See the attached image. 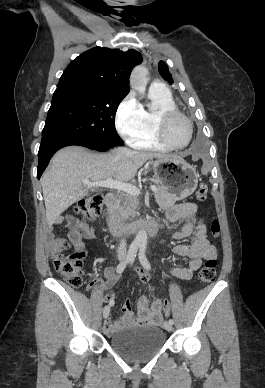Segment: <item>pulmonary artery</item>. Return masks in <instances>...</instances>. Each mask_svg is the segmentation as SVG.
Listing matches in <instances>:
<instances>
[{"mask_svg": "<svg viewBox=\"0 0 265 388\" xmlns=\"http://www.w3.org/2000/svg\"><path fill=\"white\" fill-rule=\"evenodd\" d=\"M151 84L153 86H157L160 90H169L170 84L169 83H162L160 79H153L151 81Z\"/></svg>", "mask_w": 265, "mask_h": 388, "instance_id": "pulmonary-artery-1", "label": "pulmonary artery"}]
</instances>
